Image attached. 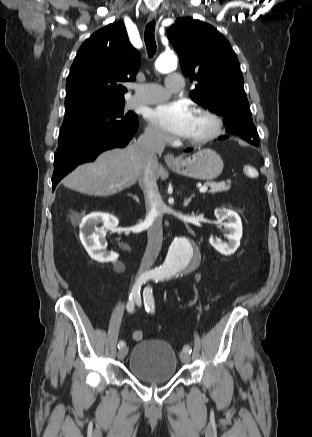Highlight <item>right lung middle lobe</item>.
Segmentation results:
<instances>
[{"label":"right lung middle lobe","mask_w":312,"mask_h":437,"mask_svg":"<svg viewBox=\"0 0 312 437\" xmlns=\"http://www.w3.org/2000/svg\"><path fill=\"white\" fill-rule=\"evenodd\" d=\"M124 102L82 103L66 107L59 146L101 132L122 129L137 122L134 113H123Z\"/></svg>","instance_id":"right-lung-middle-lobe-1"}]
</instances>
